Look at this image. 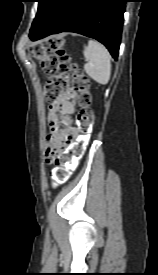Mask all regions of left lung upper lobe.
<instances>
[{"mask_svg": "<svg viewBox=\"0 0 158 275\" xmlns=\"http://www.w3.org/2000/svg\"><path fill=\"white\" fill-rule=\"evenodd\" d=\"M58 0H38V12L36 17L32 23V27L30 29V34L34 33L37 29H39L43 23L46 21L49 12L51 11L52 7ZM29 34V35H30Z\"/></svg>", "mask_w": 158, "mask_h": 275, "instance_id": "left-lung-upper-lobe-1", "label": "left lung upper lobe"}]
</instances>
